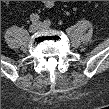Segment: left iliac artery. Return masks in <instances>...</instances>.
<instances>
[{"instance_id": "1", "label": "left iliac artery", "mask_w": 109, "mask_h": 109, "mask_svg": "<svg viewBox=\"0 0 109 109\" xmlns=\"http://www.w3.org/2000/svg\"><path fill=\"white\" fill-rule=\"evenodd\" d=\"M46 24H48L49 26H50V24H51V21L50 20H46V21H44Z\"/></svg>"}]
</instances>
